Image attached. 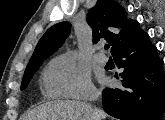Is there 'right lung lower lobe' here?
I'll list each match as a JSON object with an SVG mask.
<instances>
[{
    "mask_svg": "<svg viewBox=\"0 0 165 120\" xmlns=\"http://www.w3.org/2000/svg\"><path fill=\"white\" fill-rule=\"evenodd\" d=\"M113 57L124 71L120 74L122 86L106 88L102 93L106 113L121 120H161L165 112V74L148 34L144 32Z\"/></svg>",
    "mask_w": 165,
    "mask_h": 120,
    "instance_id": "right-lung-lower-lobe-1",
    "label": "right lung lower lobe"
}]
</instances>
